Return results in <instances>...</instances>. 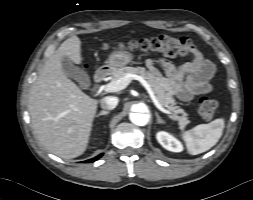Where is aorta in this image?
<instances>
[{"instance_id": "aorta-1", "label": "aorta", "mask_w": 253, "mask_h": 200, "mask_svg": "<svg viewBox=\"0 0 253 200\" xmlns=\"http://www.w3.org/2000/svg\"><path fill=\"white\" fill-rule=\"evenodd\" d=\"M143 105H136L137 108L142 107ZM130 121L137 126H145L149 122V116L146 113L142 112H133L129 115Z\"/></svg>"}]
</instances>
